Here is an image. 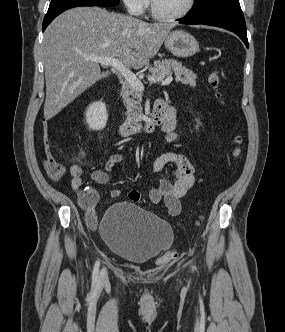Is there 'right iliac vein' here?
Segmentation results:
<instances>
[{
    "label": "right iliac vein",
    "mask_w": 285,
    "mask_h": 332,
    "mask_svg": "<svg viewBox=\"0 0 285 332\" xmlns=\"http://www.w3.org/2000/svg\"><path fill=\"white\" fill-rule=\"evenodd\" d=\"M108 280V273L105 268H103L100 272L99 278H98V283L103 284L107 282Z\"/></svg>",
    "instance_id": "63e3f726"
}]
</instances>
